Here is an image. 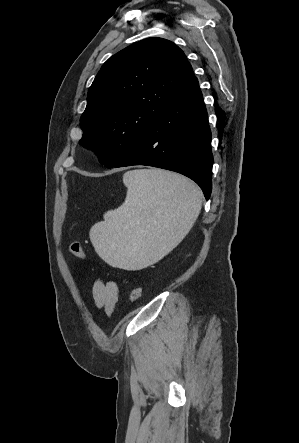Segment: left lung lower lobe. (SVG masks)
Wrapping results in <instances>:
<instances>
[{
    "instance_id": "obj_1",
    "label": "left lung lower lobe",
    "mask_w": 299,
    "mask_h": 443,
    "mask_svg": "<svg viewBox=\"0 0 299 443\" xmlns=\"http://www.w3.org/2000/svg\"><path fill=\"white\" fill-rule=\"evenodd\" d=\"M212 164L207 111L194 76L113 167L146 165L181 173L194 180L208 200Z\"/></svg>"
}]
</instances>
